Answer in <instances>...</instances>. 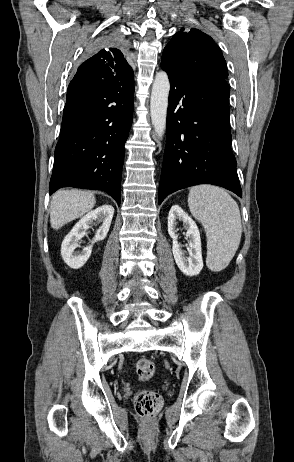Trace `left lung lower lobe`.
<instances>
[{
    "label": "left lung lower lobe",
    "mask_w": 294,
    "mask_h": 462,
    "mask_svg": "<svg viewBox=\"0 0 294 462\" xmlns=\"http://www.w3.org/2000/svg\"><path fill=\"white\" fill-rule=\"evenodd\" d=\"M162 69L171 90L159 204L170 193L197 184L222 186L242 197L231 151L227 82L190 79Z\"/></svg>",
    "instance_id": "obj_1"
}]
</instances>
